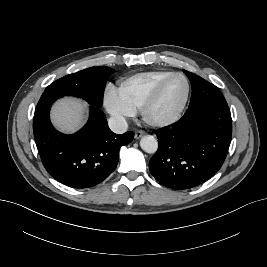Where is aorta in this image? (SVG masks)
Instances as JSON below:
<instances>
[{
	"instance_id": "762f6f07",
	"label": "aorta",
	"mask_w": 267,
	"mask_h": 267,
	"mask_svg": "<svg viewBox=\"0 0 267 267\" xmlns=\"http://www.w3.org/2000/svg\"><path fill=\"white\" fill-rule=\"evenodd\" d=\"M142 150L149 154H154L158 149V142L152 135H145L140 140Z\"/></svg>"
}]
</instances>
